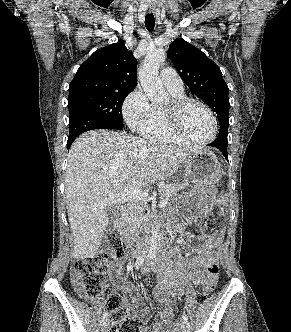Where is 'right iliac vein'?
Instances as JSON below:
<instances>
[{"label":"right iliac vein","mask_w":291,"mask_h":332,"mask_svg":"<svg viewBox=\"0 0 291 332\" xmlns=\"http://www.w3.org/2000/svg\"><path fill=\"white\" fill-rule=\"evenodd\" d=\"M108 326H109V319L108 318H104L101 321V330H102V332H106L107 329H108Z\"/></svg>","instance_id":"63e3f726"}]
</instances>
